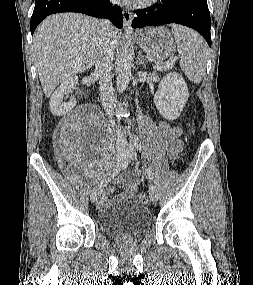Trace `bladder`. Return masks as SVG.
I'll return each instance as SVG.
<instances>
[{"label":"bladder","mask_w":253,"mask_h":285,"mask_svg":"<svg viewBox=\"0 0 253 285\" xmlns=\"http://www.w3.org/2000/svg\"><path fill=\"white\" fill-rule=\"evenodd\" d=\"M98 223L103 233L115 239L142 236L151 224L149 210L134 201L105 206L99 211Z\"/></svg>","instance_id":"1"}]
</instances>
